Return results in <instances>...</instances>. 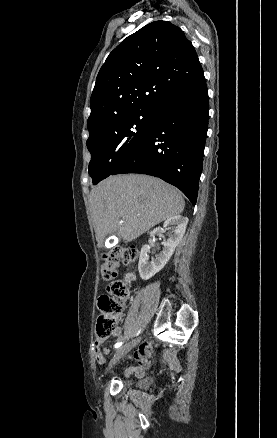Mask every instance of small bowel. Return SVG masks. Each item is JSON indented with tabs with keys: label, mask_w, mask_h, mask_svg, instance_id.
Wrapping results in <instances>:
<instances>
[{
	"label": "small bowel",
	"mask_w": 277,
	"mask_h": 438,
	"mask_svg": "<svg viewBox=\"0 0 277 438\" xmlns=\"http://www.w3.org/2000/svg\"><path fill=\"white\" fill-rule=\"evenodd\" d=\"M112 336L115 339L120 340L122 338V329L116 328L115 331L112 333ZM104 341H105V339H103V338H97L96 339V346L97 347L93 348V350H92L93 355L97 356L96 360H97V362L100 363V365H103V362L105 360L104 355L110 354L109 348L103 349L104 355L100 354L101 350H100V348H98V346L101 345ZM149 348H150V345L147 342H145L141 345L140 349L137 352H135V358L138 359L143 364L144 368L149 366V364L147 363V360H146V358L149 357V354H150ZM143 372H144L143 368H135V369H130L128 371V373H135L137 375H142Z\"/></svg>",
	"instance_id": "1"
}]
</instances>
